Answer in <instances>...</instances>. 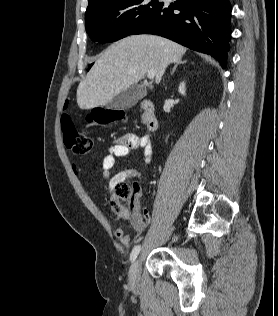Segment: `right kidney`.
<instances>
[{
    "label": "right kidney",
    "mask_w": 278,
    "mask_h": 316,
    "mask_svg": "<svg viewBox=\"0 0 278 316\" xmlns=\"http://www.w3.org/2000/svg\"><path fill=\"white\" fill-rule=\"evenodd\" d=\"M178 91L180 94L182 95H185V91H186V88H185V82H181L179 87H178Z\"/></svg>",
    "instance_id": "right-kidney-1"
}]
</instances>
